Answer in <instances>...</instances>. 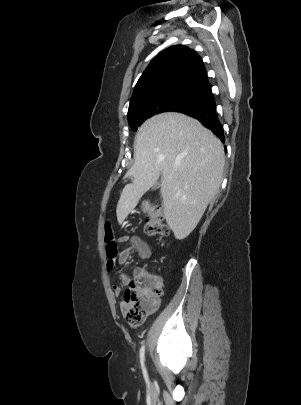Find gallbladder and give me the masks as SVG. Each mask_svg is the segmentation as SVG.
<instances>
[{
  "label": "gallbladder",
  "instance_id": "bac80fb5",
  "mask_svg": "<svg viewBox=\"0 0 301 405\" xmlns=\"http://www.w3.org/2000/svg\"><path fill=\"white\" fill-rule=\"evenodd\" d=\"M159 187H160V182H157V183L153 186L154 189H158Z\"/></svg>",
  "mask_w": 301,
  "mask_h": 405
}]
</instances>
